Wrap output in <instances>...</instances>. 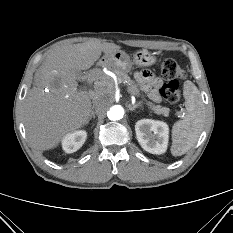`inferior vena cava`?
<instances>
[{"label":"inferior vena cava","mask_w":233,"mask_h":233,"mask_svg":"<svg viewBox=\"0 0 233 233\" xmlns=\"http://www.w3.org/2000/svg\"><path fill=\"white\" fill-rule=\"evenodd\" d=\"M98 86H99V83H97V85H96L97 89L99 88ZM100 94H101V91L99 89L97 92H89V95H90L91 99L93 100V102H96L97 96H99Z\"/></svg>","instance_id":"inferior-vena-cava-1"}]
</instances>
